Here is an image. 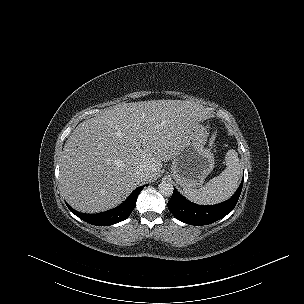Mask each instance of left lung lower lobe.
<instances>
[{
  "mask_svg": "<svg viewBox=\"0 0 304 304\" xmlns=\"http://www.w3.org/2000/svg\"><path fill=\"white\" fill-rule=\"evenodd\" d=\"M243 181L244 177L236 193L229 200L213 206L194 204L174 188L168 208L178 220L184 223L196 226L211 224L222 219L234 209L242 191Z\"/></svg>",
  "mask_w": 304,
  "mask_h": 304,
  "instance_id": "left-lung-lower-lobe-1",
  "label": "left lung lower lobe"
}]
</instances>
